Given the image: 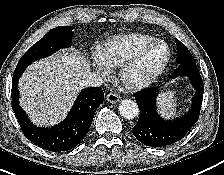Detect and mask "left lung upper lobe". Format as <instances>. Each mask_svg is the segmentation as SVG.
Masks as SVG:
<instances>
[{
    "label": "left lung upper lobe",
    "mask_w": 224,
    "mask_h": 175,
    "mask_svg": "<svg viewBox=\"0 0 224 175\" xmlns=\"http://www.w3.org/2000/svg\"><path fill=\"white\" fill-rule=\"evenodd\" d=\"M177 43V63L178 64H196L193 56L187 49V47L182 44L178 39H176Z\"/></svg>",
    "instance_id": "5c2ea615"
}]
</instances>
